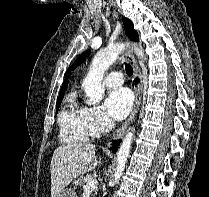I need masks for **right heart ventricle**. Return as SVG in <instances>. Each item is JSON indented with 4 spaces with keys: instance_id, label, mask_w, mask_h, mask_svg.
Here are the masks:
<instances>
[{
    "instance_id": "obj_1",
    "label": "right heart ventricle",
    "mask_w": 209,
    "mask_h": 197,
    "mask_svg": "<svg viewBox=\"0 0 209 197\" xmlns=\"http://www.w3.org/2000/svg\"><path fill=\"white\" fill-rule=\"evenodd\" d=\"M60 139L66 143L86 142L92 136L88 127L85 107L77 101V94L72 93L59 114Z\"/></svg>"
}]
</instances>
